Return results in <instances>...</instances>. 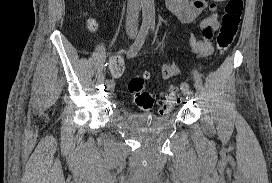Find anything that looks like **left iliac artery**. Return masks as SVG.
I'll use <instances>...</instances> for the list:
<instances>
[{"mask_svg": "<svg viewBox=\"0 0 272 183\" xmlns=\"http://www.w3.org/2000/svg\"><path fill=\"white\" fill-rule=\"evenodd\" d=\"M151 28H152V30L154 32V24L151 25ZM154 35H155V38H156L157 37V33L155 32ZM158 44L160 45V43H158ZM181 89H182V91L189 90V84L186 83V82L181 83Z\"/></svg>", "mask_w": 272, "mask_h": 183, "instance_id": "1", "label": "left iliac artery"}]
</instances>
